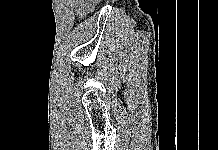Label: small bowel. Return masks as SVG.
<instances>
[{
	"label": "small bowel",
	"mask_w": 218,
	"mask_h": 150,
	"mask_svg": "<svg viewBox=\"0 0 218 150\" xmlns=\"http://www.w3.org/2000/svg\"><path fill=\"white\" fill-rule=\"evenodd\" d=\"M97 1H99V0H97ZM81 4L85 10H89L94 6L93 0H83V2Z\"/></svg>",
	"instance_id": "1"
}]
</instances>
